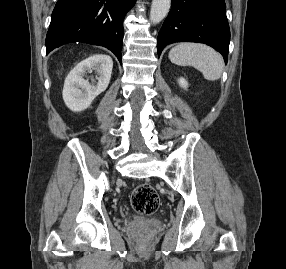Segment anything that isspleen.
<instances>
[{"instance_id": "spleen-1", "label": "spleen", "mask_w": 286, "mask_h": 269, "mask_svg": "<svg viewBox=\"0 0 286 269\" xmlns=\"http://www.w3.org/2000/svg\"><path fill=\"white\" fill-rule=\"evenodd\" d=\"M169 59L179 66H193L203 77L215 81L221 77L223 58L211 47L197 43H180L169 52Z\"/></svg>"}]
</instances>
